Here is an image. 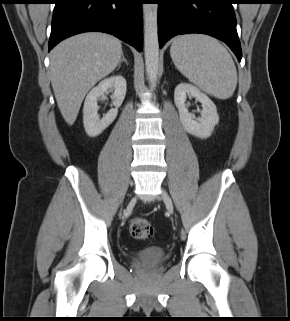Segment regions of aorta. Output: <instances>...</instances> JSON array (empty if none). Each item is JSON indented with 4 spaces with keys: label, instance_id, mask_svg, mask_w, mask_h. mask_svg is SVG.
Masks as SVG:
<instances>
[{
    "label": "aorta",
    "instance_id": "762f6f07",
    "mask_svg": "<svg viewBox=\"0 0 290 321\" xmlns=\"http://www.w3.org/2000/svg\"><path fill=\"white\" fill-rule=\"evenodd\" d=\"M144 55L151 87L156 86L159 68L158 4H144Z\"/></svg>",
    "mask_w": 290,
    "mask_h": 321
}]
</instances>
